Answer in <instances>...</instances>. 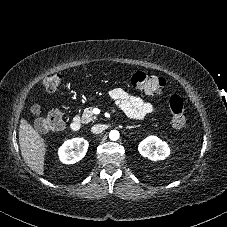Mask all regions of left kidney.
Instances as JSON below:
<instances>
[{
	"label": "left kidney",
	"mask_w": 227,
	"mask_h": 227,
	"mask_svg": "<svg viewBox=\"0 0 227 227\" xmlns=\"http://www.w3.org/2000/svg\"><path fill=\"white\" fill-rule=\"evenodd\" d=\"M138 150L143 157L152 161L164 160L170 154V149L166 142L156 136H149L140 142Z\"/></svg>",
	"instance_id": "left-kidney-1"
}]
</instances>
